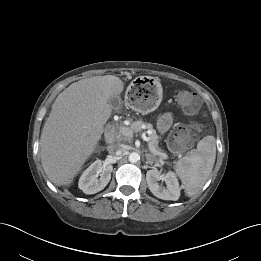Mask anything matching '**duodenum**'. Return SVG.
I'll use <instances>...</instances> for the list:
<instances>
[{
    "label": "duodenum",
    "instance_id": "duodenum-1",
    "mask_svg": "<svg viewBox=\"0 0 261 261\" xmlns=\"http://www.w3.org/2000/svg\"><path fill=\"white\" fill-rule=\"evenodd\" d=\"M105 133L108 139L111 141H113L116 138V130L113 124L107 125Z\"/></svg>",
    "mask_w": 261,
    "mask_h": 261
}]
</instances>
